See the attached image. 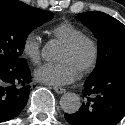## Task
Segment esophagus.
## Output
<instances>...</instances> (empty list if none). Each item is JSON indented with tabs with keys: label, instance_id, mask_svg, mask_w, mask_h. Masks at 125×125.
Wrapping results in <instances>:
<instances>
[{
	"label": "esophagus",
	"instance_id": "esophagus-1",
	"mask_svg": "<svg viewBox=\"0 0 125 125\" xmlns=\"http://www.w3.org/2000/svg\"><path fill=\"white\" fill-rule=\"evenodd\" d=\"M53 89L58 94H64L66 92V89H64L62 87H58V86H54Z\"/></svg>",
	"mask_w": 125,
	"mask_h": 125
}]
</instances>
